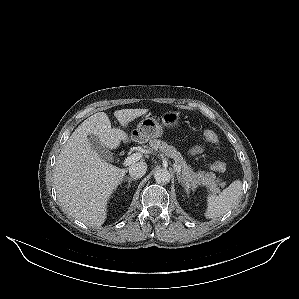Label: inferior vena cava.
Returning a JSON list of instances; mask_svg holds the SVG:
<instances>
[{"instance_id": "inferior-vena-cava-1", "label": "inferior vena cava", "mask_w": 299, "mask_h": 299, "mask_svg": "<svg viewBox=\"0 0 299 299\" xmlns=\"http://www.w3.org/2000/svg\"><path fill=\"white\" fill-rule=\"evenodd\" d=\"M147 171V164L145 162H138L129 167V174L133 178H141Z\"/></svg>"}]
</instances>
